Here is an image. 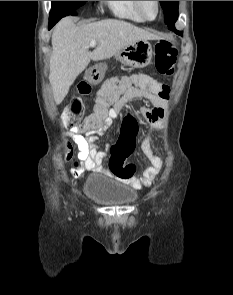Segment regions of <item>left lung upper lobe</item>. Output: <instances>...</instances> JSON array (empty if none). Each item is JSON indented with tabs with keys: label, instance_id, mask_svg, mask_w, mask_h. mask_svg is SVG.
Instances as JSON below:
<instances>
[{
	"label": "left lung upper lobe",
	"instance_id": "5c2ea615",
	"mask_svg": "<svg viewBox=\"0 0 233 295\" xmlns=\"http://www.w3.org/2000/svg\"><path fill=\"white\" fill-rule=\"evenodd\" d=\"M160 4L164 11L165 23L170 29L174 26L175 22L178 19L179 1H160Z\"/></svg>",
	"mask_w": 233,
	"mask_h": 295
}]
</instances>
